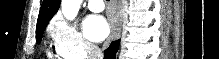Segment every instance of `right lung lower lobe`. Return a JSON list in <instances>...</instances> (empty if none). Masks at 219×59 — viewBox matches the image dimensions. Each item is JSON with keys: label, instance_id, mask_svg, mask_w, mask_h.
I'll use <instances>...</instances> for the list:
<instances>
[{"label": "right lung lower lobe", "instance_id": "obj_1", "mask_svg": "<svg viewBox=\"0 0 219 59\" xmlns=\"http://www.w3.org/2000/svg\"><path fill=\"white\" fill-rule=\"evenodd\" d=\"M118 49L119 40L112 42L111 45L104 51V59H115Z\"/></svg>", "mask_w": 219, "mask_h": 59}]
</instances>
